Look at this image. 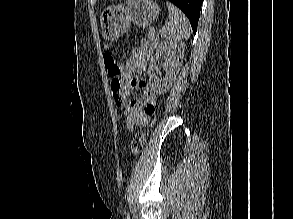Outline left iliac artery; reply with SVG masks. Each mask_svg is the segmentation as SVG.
<instances>
[{"label":"left iliac artery","mask_w":293,"mask_h":219,"mask_svg":"<svg viewBox=\"0 0 293 219\" xmlns=\"http://www.w3.org/2000/svg\"><path fill=\"white\" fill-rule=\"evenodd\" d=\"M126 219H130V215H129V213H128V212H127Z\"/></svg>","instance_id":"44dca946"}]
</instances>
